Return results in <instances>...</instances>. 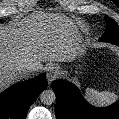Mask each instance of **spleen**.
<instances>
[{
    "mask_svg": "<svg viewBox=\"0 0 119 119\" xmlns=\"http://www.w3.org/2000/svg\"><path fill=\"white\" fill-rule=\"evenodd\" d=\"M85 96L89 102L100 107L110 105L114 103L118 98V96L113 92H99L91 88L86 89Z\"/></svg>",
    "mask_w": 119,
    "mask_h": 119,
    "instance_id": "spleen-1",
    "label": "spleen"
}]
</instances>
